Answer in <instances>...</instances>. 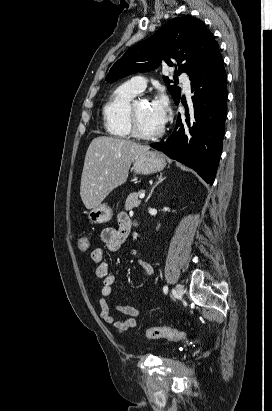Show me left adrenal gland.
Wrapping results in <instances>:
<instances>
[{
	"instance_id": "1",
	"label": "left adrenal gland",
	"mask_w": 272,
	"mask_h": 411,
	"mask_svg": "<svg viewBox=\"0 0 272 411\" xmlns=\"http://www.w3.org/2000/svg\"><path fill=\"white\" fill-rule=\"evenodd\" d=\"M165 178H166V177H163L162 174H160V176L158 177V181H157V182L154 184V186L152 187V189H151V191H150V193H149V195H148V197H147V199H146V202H148V200H149L150 197L152 196L153 191H154V189L156 188V186H158V184H160L163 180H165Z\"/></svg>"
}]
</instances>
